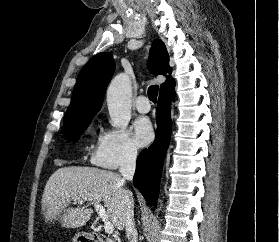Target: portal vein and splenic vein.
Wrapping results in <instances>:
<instances>
[{"label":"portal vein and splenic vein","instance_id":"portal-vein-and-splenic-vein-1","mask_svg":"<svg viewBox=\"0 0 279 242\" xmlns=\"http://www.w3.org/2000/svg\"><path fill=\"white\" fill-rule=\"evenodd\" d=\"M83 201H87V198H84ZM92 203L94 204L95 210L98 212V214L100 215V217L104 222L105 232L108 234H112L114 231V225L109 221L104 207L99 202H92Z\"/></svg>","mask_w":279,"mask_h":242}]
</instances>
